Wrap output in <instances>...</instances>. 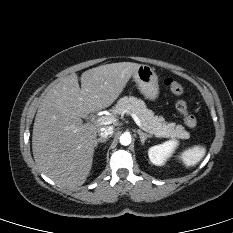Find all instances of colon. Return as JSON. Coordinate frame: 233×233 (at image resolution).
<instances>
[{
  "label": "colon",
  "instance_id": "obj_1",
  "mask_svg": "<svg viewBox=\"0 0 233 233\" xmlns=\"http://www.w3.org/2000/svg\"><path fill=\"white\" fill-rule=\"evenodd\" d=\"M164 85L173 95H180L183 91L182 85L171 77H168L164 80ZM175 107L182 115L183 121L188 127L194 128L197 125V119L192 113L189 112L185 101L177 100L175 102Z\"/></svg>",
  "mask_w": 233,
  "mask_h": 233
}]
</instances>
